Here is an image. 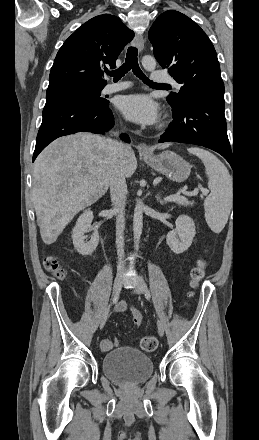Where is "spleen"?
I'll use <instances>...</instances> for the list:
<instances>
[{
  "label": "spleen",
  "instance_id": "3e777b00",
  "mask_svg": "<svg viewBox=\"0 0 259 440\" xmlns=\"http://www.w3.org/2000/svg\"><path fill=\"white\" fill-rule=\"evenodd\" d=\"M188 152L201 159L208 176L209 196L204 201L205 219L210 229L220 233L225 227L232 208V177L226 166L207 150L192 147Z\"/></svg>",
  "mask_w": 259,
  "mask_h": 440
}]
</instances>
